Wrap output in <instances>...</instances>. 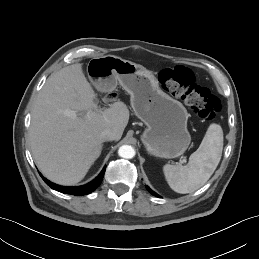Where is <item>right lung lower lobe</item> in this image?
Segmentation results:
<instances>
[{
    "instance_id": "98d812e1",
    "label": "right lung lower lobe",
    "mask_w": 259,
    "mask_h": 259,
    "mask_svg": "<svg viewBox=\"0 0 259 259\" xmlns=\"http://www.w3.org/2000/svg\"><path fill=\"white\" fill-rule=\"evenodd\" d=\"M105 168L106 167H104V169L101 171L99 176L96 177V179H94L92 182H90L86 185H83V186H74V187L60 186V185L50 182L48 179L44 178L42 176V174H40V176L42 177L44 182L48 186H50L52 189L59 191L61 193L80 196V195H87V194L91 193L101 184L103 177H104Z\"/></svg>"
}]
</instances>
